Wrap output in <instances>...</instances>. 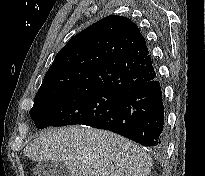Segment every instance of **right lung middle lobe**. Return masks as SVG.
I'll list each match as a JSON object with an SVG mask.
<instances>
[{"label": "right lung middle lobe", "instance_id": "1", "mask_svg": "<svg viewBox=\"0 0 205 176\" xmlns=\"http://www.w3.org/2000/svg\"><path fill=\"white\" fill-rule=\"evenodd\" d=\"M123 95L102 88L38 95L30 116L39 129L77 124L89 126L101 119Z\"/></svg>", "mask_w": 205, "mask_h": 176}]
</instances>
